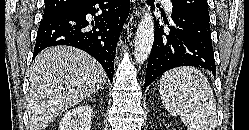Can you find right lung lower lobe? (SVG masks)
I'll return each instance as SVG.
<instances>
[{
    "instance_id": "98d812e1",
    "label": "right lung lower lobe",
    "mask_w": 249,
    "mask_h": 130,
    "mask_svg": "<svg viewBox=\"0 0 249 130\" xmlns=\"http://www.w3.org/2000/svg\"><path fill=\"white\" fill-rule=\"evenodd\" d=\"M129 9L130 0H85L72 11L43 19L33 58L50 46H74L97 59L112 82L117 41ZM99 10L102 13L94 20L86 19L88 13L93 15Z\"/></svg>"
}]
</instances>
